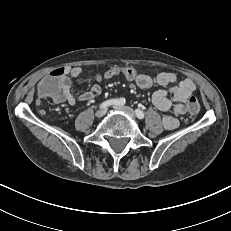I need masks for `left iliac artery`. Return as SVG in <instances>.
Wrapping results in <instances>:
<instances>
[{"label": "left iliac artery", "mask_w": 231, "mask_h": 231, "mask_svg": "<svg viewBox=\"0 0 231 231\" xmlns=\"http://www.w3.org/2000/svg\"><path fill=\"white\" fill-rule=\"evenodd\" d=\"M135 113H136V116L139 118V119H143L144 118V112L140 109H136L135 110Z\"/></svg>", "instance_id": "1"}]
</instances>
